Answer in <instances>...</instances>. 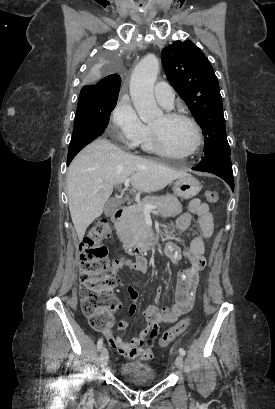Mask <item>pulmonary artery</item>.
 I'll return each mask as SVG.
<instances>
[{
  "instance_id": "obj_1",
  "label": "pulmonary artery",
  "mask_w": 275,
  "mask_h": 409,
  "mask_svg": "<svg viewBox=\"0 0 275 409\" xmlns=\"http://www.w3.org/2000/svg\"><path fill=\"white\" fill-rule=\"evenodd\" d=\"M155 97L159 105L164 109H172L174 101L173 87L171 85H167V82L165 80H162L160 82V86L158 87V89H155Z\"/></svg>"
}]
</instances>
